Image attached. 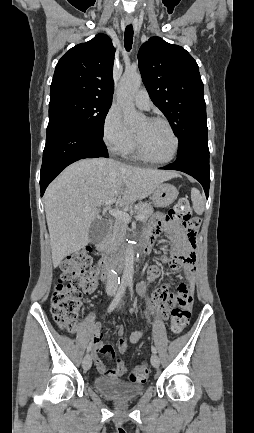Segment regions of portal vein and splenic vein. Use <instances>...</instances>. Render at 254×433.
<instances>
[{
    "instance_id": "1",
    "label": "portal vein and splenic vein",
    "mask_w": 254,
    "mask_h": 433,
    "mask_svg": "<svg viewBox=\"0 0 254 433\" xmlns=\"http://www.w3.org/2000/svg\"><path fill=\"white\" fill-rule=\"evenodd\" d=\"M116 201V198H113L111 200H109L108 202L105 203V206H110L111 204H113ZM109 213L114 216L116 219H119L121 221L127 222L129 223L131 221V216L129 214H127L126 212H122L120 210L117 209H109ZM135 218L137 220H143L144 219V215L143 214H138L135 216Z\"/></svg>"
}]
</instances>
